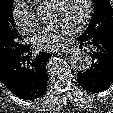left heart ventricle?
Listing matches in <instances>:
<instances>
[{
  "mask_svg": "<svg viewBox=\"0 0 113 113\" xmlns=\"http://www.w3.org/2000/svg\"><path fill=\"white\" fill-rule=\"evenodd\" d=\"M85 10V0H63L57 8L48 9L47 22L63 21L75 27L83 18Z\"/></svg>",
  "mask_w": 113,
  "mask_h": 113,
  "instance_id": "b2bd125f",
  "label": "left heart ventricle"
}]
</instances>
